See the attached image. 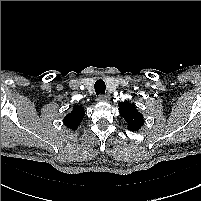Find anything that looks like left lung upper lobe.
Here are the masks:
<instances>
[{
  "label": "left lung upper lobe",
  "instance_id": "left-lung-upper-lobe-1",
  "mask_svg": "<svg viewBox=\"0 0 201 201\" xmlns=\"http://www.w3.org/2000/svg\"><path fill=\"white\" fill-rule=\"evenodd\" d=\"M121 116L126 120L130 131H138L144 125L143 115L138 112L135 104L121 102L118 104Z\"/></svg>",
  "mask_w": 201,
  "mask_h": 201
}]
</instances>
